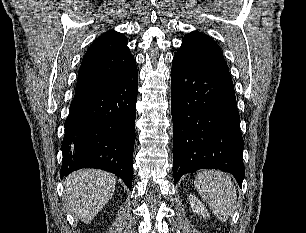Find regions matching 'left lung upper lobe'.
I'll return each instance as SVG.
<instances>
[{"label":"left lung upper lobe","instance_id":"5c2ea615","mask_svg":"<svg viewBox=\"0 0 306 233\" xmlns=\"http://www.w3.org/2000/svg\"><path fill=\"white\" fill-rule=\"evenodd\" d=\"M176 54L185 56L198 64L228 71V66L218 44L208 35L198 31H193L183 37L182 45Z\"/></svg>","mask_w":306,"mask_h":233}]
</instances>
